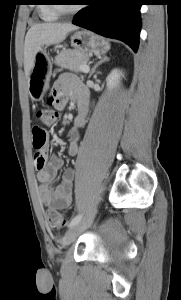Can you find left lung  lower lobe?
I'll use <instances>...</instances> for the list:
<instances>
[{
  "mask_svg": "<svg viewBox=\"0 0 181 300\" xmlns=\"http://www.w3.org/2000/svg\"><path fill=\"white\" fill-rule=\"evenodd\" d=\"M73 24L102 36L121 40L137 51L142 0H87Z\"/></svg>",
  "mask_w": 181,
  "mask_h": 300,
  "instance_id": "obj_1",
  "label": "left lung lower lobe"
}]
</instances>
